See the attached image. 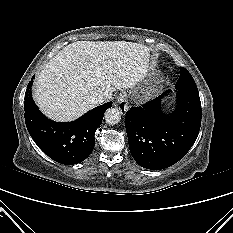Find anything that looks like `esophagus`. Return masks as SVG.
<instances>
[{
    "label": "esophagus",
    "instance_id": "obj_1",
    "mask_svg": "<svg viewBox=\"0 0 233 233\" xmlns=\"http://www.w3.org/2000/svg\"><path fill=\"white\" fill-rule=\"evenodd\" d=\"M127 100H128V97H127V93L126 92H121L119 94V96L117 97L115 106H116V108L119 109V111L121 112V114L126 113V111L128 110Z\"/></svg>",
    "mask_w": 233,
    "mask_h": 233
}]
</instances>
